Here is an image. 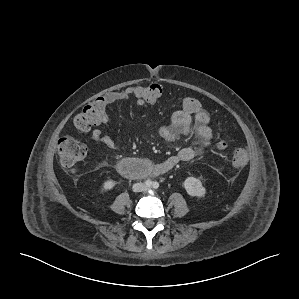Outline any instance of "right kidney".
I'll use <instances>...</instances> for the list:
<instances>
[{
  "label": "right kidney",
  "instance_id": "obj_1",
  "mask_svg": "<svg viewBox=\"0 0 299 299\" xmlns=\"http://www.w3.org/2000/svg\"><path fill=\"white\" fill-rule=\"evenodd\" d=\"M116 185V182L113 180H106L101 187V192H106L108 190L113 189V187Z\"/></svg>",
  "mask_w": 299,
  "mask_h": 299
}]
</instances>
